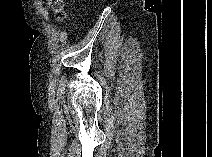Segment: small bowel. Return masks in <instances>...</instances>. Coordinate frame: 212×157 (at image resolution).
Wrapping results in <instances>:
<instances>
[{"mask_svg": "<svg viewBox=\"0 0 212 157\" xmlns=\"http://www.w3.org/2000/svg\"><path fill=\"white\" fill-rule=\"evenodd\" d=\"M36 6H37V9H38V12L40 13V15L45 19V20H48L49 19V13L48 11L46 10V8L43 6L42 2L41 1H38L36 3Z\"/></svg>", "mask_w": 212, "mask_h": 157, "instance_id": "c3829d8e", "label": "small bowel"}]
</instances>
